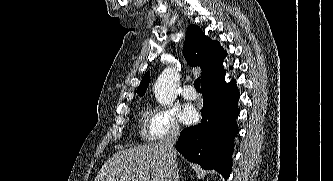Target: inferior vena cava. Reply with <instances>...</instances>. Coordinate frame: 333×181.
Returning <instances> with one entry per match:
<instances>
[{
	"mask_svg": "<svg viewBox=\"0 0 333 181\" xmlns=\"http://www.w3.org/2000/svg\"><path fill=\"white\" fill-rule=\"evenodd\" d=\"M178 135H179V127L173 125L166 134V136L160 142L168 157L169 169L166 175V181H174L176 177L177 164H176V151L174 149V145L177 141Z\"/></svg>",
	"mask_w": 333,
	"mask_h": 181,
	"instance_id": "obj_1",
	"label": "inferior vena cava"
}]
</instances>
